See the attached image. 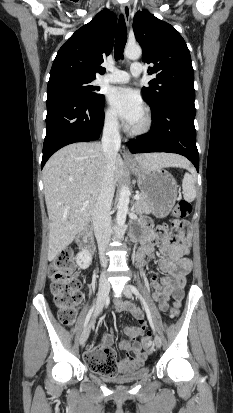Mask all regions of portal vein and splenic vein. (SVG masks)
I'll list each match as a JSON object with an SVG mask.
<instances>
[{"label":"portal vein and splenic vein","mask_w":233,"mask_h":413,"mask_svg":"<svg viewBox=\"0 0 233 413\" xmlns=\"http://www.w3.org/2000/svg\"><path fill=\"white\" fill-rule=\"evenodd\" d=\"M140 198V196L138 195V194H136L135 196H134V199L135 200H138ZM88 203V201H86V204Z\"/></svg>","instance_id":"portal-vein-and-splenic-vein-1"}]
</instances>
